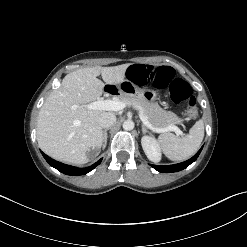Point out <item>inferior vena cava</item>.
<instances>
[{"label":"inferior vena cava","instance_id":"inferior-vena-cava-1","mask_svg":"<svg viewBox=\"0 0 247 247\" xmlns=\"http://www.w3.org/2000/svg\"><path fill=\"white\" fill-rule=\"evenodd\" d=\"M116 122V116L111 112H104L99 116V125L102 128H109Z\"/></svg>","mask_w":247,"mask_h":247}]
</instances>
